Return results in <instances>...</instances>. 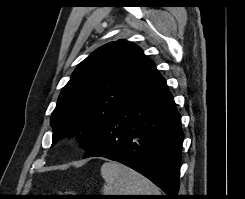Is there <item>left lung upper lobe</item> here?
Here are the masks:
<instances>
[{
	"label": "left lung upper lobe",
	"instance_id": "1",
	"mask_svg": "<svg viewBox=\"0 0 245 199\" xmlns=\"http://www.w3.org/2000/svg\"><path fill=\"white\" fill-rule=\"evenodd\" d=\"M158 74L155 63L125 40L90 54L62 89L51 116L52 146L66 134L83 130L84 148L98 140L106 120L137 96Z\"/></svg>",
	"mask_w": 245,
	"mask_h": 199
}]
</instances>
